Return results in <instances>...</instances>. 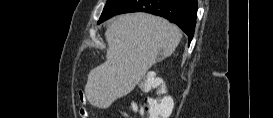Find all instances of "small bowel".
I'll return each instance as SVG.
<instances>
[{
	"instance_id": "1",
	"label": "small bowel",
	"mask_w": 273,
	"mask_h": 118,
	"mask_svg": "<svg viewBox=\"0 0 273 118\" xmlns=\"http://www.w3.org/2000/svg\"><path fill=\"white\" fill-rule=\"evenodd\" d=\"M79 99H80L81 103L86 102V97H85V95L82 92L79 93ZM80 116L82 118H87L88 117V113H87V111L84 108L80 109Z\"/></svg>"
}]
</instances>
